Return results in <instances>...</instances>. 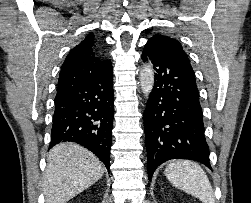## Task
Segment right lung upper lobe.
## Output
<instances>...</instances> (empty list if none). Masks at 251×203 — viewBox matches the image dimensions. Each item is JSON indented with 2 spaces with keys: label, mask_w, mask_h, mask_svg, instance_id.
Wrapping results in <instances>:
<instances>
[{
  "label": "right lung upper lobe",
  "mask_w": 251,
  "mask_h": 203,
  "mask_svg": "<svg viewBox=\"0 0 251 203\" xmlns=\"http://www.w3.org/2000/svg\"><path fill=\"white\" fill-rule=\"evenodd\" d=\"M94 48V35L89 34L69 52L61 67L56 97L99 75L111 65L110 60L98 58Z\"/></svg>",
  "instance_id": "cb5924a9"
}]
</instances>
